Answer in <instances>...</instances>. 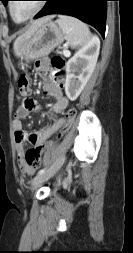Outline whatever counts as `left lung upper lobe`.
<instances>
[{
  "instance_id": "obj_1",
  "label": "left lung upper lobe",
  "mask_w": 133,
  "mask_h": 253,
  "mask_svg": "<svg viewBox=\"0 0 133 253\" xmlns=\"http://www.w3.org/2000/svg\"><path fill=\"white\" fill-rule=\"evenodd\" d=\"M0 1H2L4 5H6L9 0H0Z\"/></svg>"
}]
</instances>
